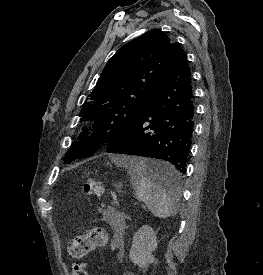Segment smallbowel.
I'll return each mask as SVG.
<instances>
[{"mask_svg":"<svg viewBox=\"0 0 263 275\" xmlns=\"http://www.w3.org/2000/svg\"><path fill=\"white\" fill-rule=\"evenodd\" d=\"M99 220L106 223L112 229L113 237L109 243V249L118 253L120 260L124 258V232L128 225L125 215L116 213L112 208L100 211ZM107 243V239L103 245Z\"/></svg>","mask_w":263,"mask_h":275,"instance_id":"obj_1","label":"small bowel"}]
</instances>
